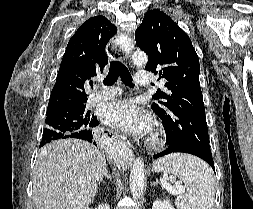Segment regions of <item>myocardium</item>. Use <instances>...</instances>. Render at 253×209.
<instances>
[{"mask_svg": "<svg viewBox=\"0 0 253 209\" xmlns=\"http://www.w3.org/2000/svg\"><path fill=\"white\" fill-rule=\"evenodd\" d=\"M163 142H164V132L160 127L157 126L149 137L148 145L151 148H158L163 144Z\"/></svg>", "mask_w": 253, "mask_h": 209, "instance_id": "myocardium-1", "label": "myocardium"}]
</instances>
